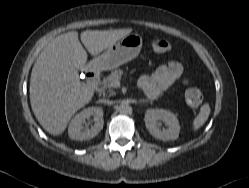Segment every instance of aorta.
Instances as JSON below:
<instances>
[{
    "instance_id": "aorta-1",
    "label": "aorta",
    "mask_w": 249,
    "mask_h": 188,
    "mask_svg": "<svg viewBox=\"0 0 249 188\" xmlns=\"http://www.w3.org/2000/svg\"><path fill=\"white\" fill-rule=\"evenodd\" d=\"M129 110H130V107H129V105L126 104V103H121V104L119 105V107H118V111H119V113H121V114H127V113L129 112Z\"/></svg>"
}]
</instances>
